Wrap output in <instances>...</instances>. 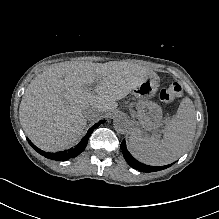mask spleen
<instances>
[{
  "instance_id": "1",
  "label": "spleen",
  "mask_w": 219,
  "mask_h": 219,
  "mask_svg": "<svg viewBox=\"0 0 219 219\" xmlns=\"http://www.w3.org/2000/svg\"><path fill=\"white\" fill-rule=\"evenodd\" d=\"M196 130V112L192 100L183 98L177 114L166 124L162 139L143 137L133 129L129 137V150L140 162L161 166L179 158L188 149Z\"/></svg>"
}]
</instances>
